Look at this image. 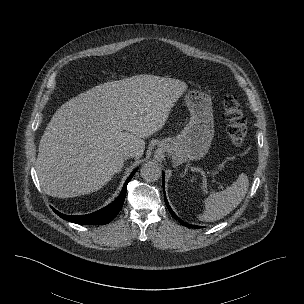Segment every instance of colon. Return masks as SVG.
I'll return each instance as SVG.
<instances>
[{
  "label": "colon",
  "mask_w": 304,
  "mask_h": 304,
  "mask_svg": "<svg viewBox=\"0 0 304 304\" xmlns=\"http://www.w3.org/2000/svg\"><path fill=\"white\" fill-rule=\"evenodd\" d=\"M224 118L227 121V134L235 148H241L247 137V123L241 104L234 96H228L223 104Z\"/></svg>",
  "instance_id": "obj_1"
}]
</instances>
